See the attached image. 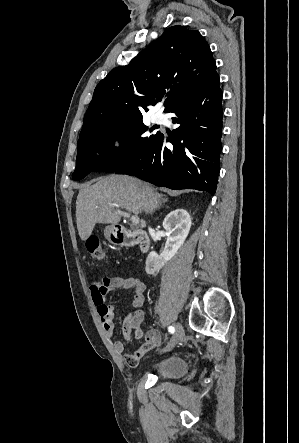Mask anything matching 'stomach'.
<instances>
[{
    "label": "stomach",
    "mask_w": 299,
    "mask_h": 443,
    "mask_svg": "<svg viewBox=\"0 0 299 443\" xmlns=\"http://www.w3.org/2000/svg\"><path fill=\"white\" fill-rule=\"evenodd\" d=\"M113 230H114V226L112 225V226H107L104 231V235H105L106 239L110 242L113 241L112 240Z\"/></svg>",
    "instance_id": "obj_1"
}]
</instances>
